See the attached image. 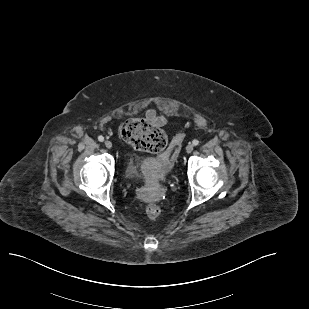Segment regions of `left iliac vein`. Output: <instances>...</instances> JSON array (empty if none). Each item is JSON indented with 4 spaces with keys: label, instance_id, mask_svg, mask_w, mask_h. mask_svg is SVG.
Listing matches in <instances>:
<instances>
[{
    "label": "left iliac vein",
    "instance_id": "1",
    "mask_svg": "<svg viewBox=\"0 0 309 309\" xmlns=\"http://www.w3.org/2000/svg\"><path fill=\"white\" fill-rule=\"evenodd\" d=\"M193 145L192 144H188L187 146H186V152L187 153H191L192 151H193Z\"/></svg>",
    "mask_w": 309,
    "mask_h": 309
}]
</instances>
